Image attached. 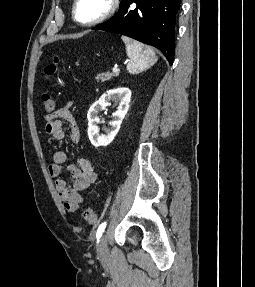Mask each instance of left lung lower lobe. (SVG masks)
I'll use <instances>...</instances> for the list:
<instances>
[{
	"mask_svg": "<svg viewBox=\"0 0 255 287\" xmlns=\"http://www.w3.org/2000/svg\"><path fill=\"white\" fill-rule=\"evenodd\" d=\"M181 0H121L118 13L94 30L126 35L161 50L172 65Z\"/></svg>",
	"mask_w": 255,
	"mask_h": 287,
	"instance_id": "1",
	"label": "left lung lower lobe"
}]
</instances>
